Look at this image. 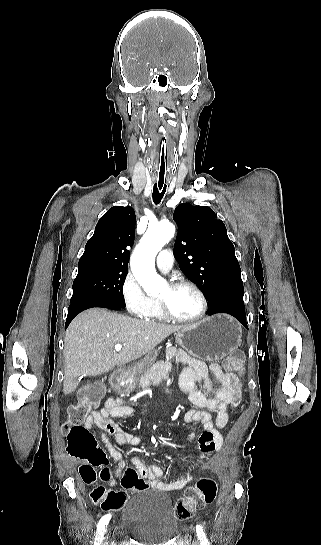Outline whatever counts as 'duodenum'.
Segmentation results:
<instances>
[{"instance_id": "obj_1", "label": "duodenum", "mask_w": 321, "mask_h": 545, "mask_svg": "<svg viewBox=\"0 0 321 545\" xmlns=\"http://www.w3.org/2000/svg\"><path fill=\"white\" fill-rule=\"evenodd\" d=\"M123 379L124 373L122 371H117L112 375L111 381L114 386H119Z\"/></svg>"}]
</instances>
